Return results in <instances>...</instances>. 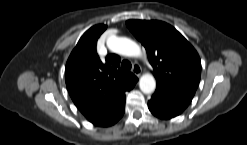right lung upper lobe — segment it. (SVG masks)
Segmentation results:
<instances>
[{
  "mask_svg": "<svg viewBox=\"0 0 247 145\" xmlns=\"http://www.w3.org/2000/svg\"><path fill=\"white\" fill-rule=\"evenodd\" d=\"M106 25H95L80 38L70 54L65 80L69 94L83 115L96 126H107L125 110V91L131 90L138 78L119 68L120 57L111 54L102 63L96 44Z\"/></svg>",
  "mask_w": 247,
  "mask_h": 145,
  "instance_id": "1",
  "label": "right lung upper lobe"
}]
</instances>
